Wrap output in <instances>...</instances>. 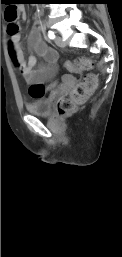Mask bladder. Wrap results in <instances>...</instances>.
<instances>
[{
    "instance_id": "obj_1",
    "label": "bladder",
    "mask_w": 122,
    "mask_h": 257,
    "mask_svg": "<svg viewBox=\"0 0 122 257\" xmlns=\"http://www.w3.org/2000/svg\"><path fill=\"white\" fill-rule=\"evenodd\" d=\"M52 102L51 97H39L27 104L26 110L33 115L46 116L49 115L52 110Z\"/></svg>"
}]
</instances>
